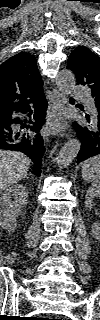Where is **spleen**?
I'll return each instance as SVG.
<instances>
[{
	"label": "spleen",
	"mask_w": 100,
	"mask_h": 320,
	"mask_svg": "<svg viewBox=\"0 0 100 320\" xmlns=\"http://www.w3.org/2000/svg\"><path fill=\"white\" fill-rule=\"evenodd\" d=\"M82 177L84 180L98 184L100 182V157L95 156L82 163Z\"/></svg>",
	"instance_id": "spleen-1"
}]
</instances>
